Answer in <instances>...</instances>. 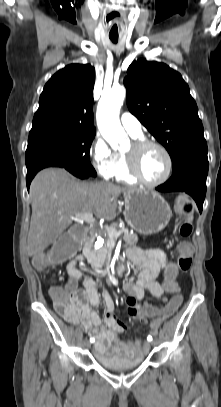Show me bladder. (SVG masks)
<instances>
[{
	"mask_svg": "<svg viewBox=\"0 0 221 407\" xmlns=\"http://www.w3.org/2000/svg\"><path fill=\"white\" fill-rule=\"evenodd\" d=\"M95 360L102 367L112 371L129 370L139 367L143 361V354L133 358H124L116 355H106L96 352Z\"/></svg>",
	"mask_w": 221,
	"mask_h": 407,
	"instance_id": "31cf9c89",
	"label": "bladder"
}]
</instances>
